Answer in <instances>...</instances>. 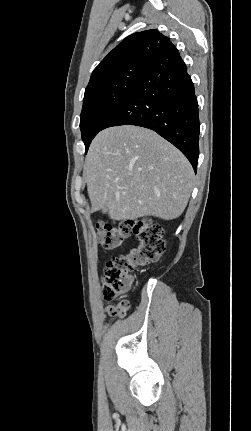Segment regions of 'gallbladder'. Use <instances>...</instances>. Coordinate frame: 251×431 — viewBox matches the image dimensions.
Masks as SVG:
<instances>
[{
    "label": "gallbladder",
    "instance_id": "bac80fb5",
    "mask_svg": "<svg viewBox=\"0 0 251 431\" xmlns=\"http://www.w3.org/2000/svg\"><path fill=\"white\" fill-rule=\"evenodd\" d=\"M101 210H102L103 213H107V208L106 207H103Z\"/></svg>",
    "mask_w": 251,
    "mask_h": 431
}]
</instances>
